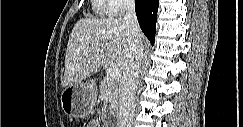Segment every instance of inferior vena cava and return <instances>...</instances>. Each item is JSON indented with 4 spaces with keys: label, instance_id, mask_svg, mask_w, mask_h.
Listing matches in <instances>:
<instances>
[{
    "label": "inferior vena cava",
    "instance_id": "obj_1",
    "mask_svg": "<svg viewBox=\"0 0 243 127\" xmlns=\"http://www.w3.org/2000/svg\"><path fill=\"white\" fill-rule=\"evenodd\" d=\"M124 22L130 33L129 48L120 81L119 114L117 127H132L135 112V91L139 68L143 58L141 30L135 11V0H124Z\"/></svg>",
    "mask_w": 243,
    "mask_h": 127
}]
</instances>
